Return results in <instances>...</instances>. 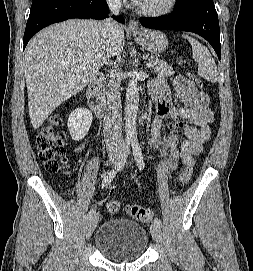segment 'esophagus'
Listing matches in <instances>:
<instances>
[{"label":"esophagus","mask_w":253,"mask_h":271,"mask_svg":"<svg viewBox=\"0 0 253 271\" xmlns=\"http://www.w3.org/2000/svg\"><path fill=\"white\" fill-rule=\"evenodd\" d=\"M128 28L133 33L140 32V27H139L138 23L135 20H130L129 21Z\"/></svg>","instance_id":"1"}]
</instances>
